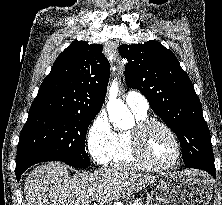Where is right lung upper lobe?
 Segmentation results:
<instances>
[{"instance_id": "obj_1", "label": "right lung upper lobe", "mask_w": 222, "mask_h": 205, "mask_svg": "<svg viewBox=\"0 0 222 205\" xmlns=\"http://www.w3.org/2000/svg\"><path fill=\"white\" fill-rule=\"evenodd\" d=\"M110 64L102 45L74 41L42 82L29 116L53 112L96 114L102 107Z\"/></svg>"}]
</instances>
